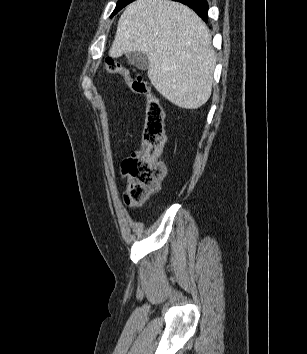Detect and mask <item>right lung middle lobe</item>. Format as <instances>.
Returning <instances> with one entry per match:
<instances>
[{"instance_id":"obj_1","label":"right lung middle lobe","mask_w":307,"mask_h":354,"mask_svg":"<svg viewBox=\"0 0 307 354\" xmlns=\"http://www.w3.org/2000/svg\"><path fill=\"white\" fill-rule=\"evenodd\" d=\"M132 1H134V0H119V1L117 2L116 8H115V10L113 11L111 17H112L113 15H115V14H116L119 10H121L123 7H125L127 4L131 3Z\"/></svg>"}]
</instances>
